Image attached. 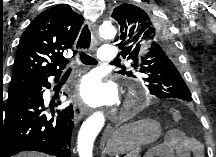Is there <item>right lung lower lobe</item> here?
Here are the masks:
<instances>
[{
    "label": "right lung lower lobe",
    "mask_w": 216,
    "mask_h": 157,
    "mask_svg": "<svg viewBox=\"0 0 216 157\" xmlns=\"http://www.w3.org/2000/svg\"><path fill=\"white\" fill-rule=\"evenodd\" d=\"M61 71L53 76L59 77ZM57 81V79H55ZM48 79L33 83L8 96L0 107V157L35 150L56 157H71L74 127L72 105L57 114H44L42 94L50 88ZM53 111V107H51Z\"/></svg>",
    "instance_id": "right-lung-lower-lobe-1"
}]
</instances>
